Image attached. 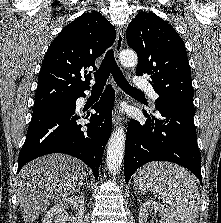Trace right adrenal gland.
<instances>
[{
	"mask_svg": "<svg viewBox=\"0 0 221 223\" xmlns=\"http://www.w3.org/2000/svg\"><path fill=\"white\" fill-rule=\"evenodd\" d=\"M87 186L88 188H90V184L87 180V178L85 179V183L83 184V187Z\"/></svg>",
	"mask_w": 221,
	"mask_h": 223,
	"instance_id": "obj_1",
	"label": "right adrenal gland"
}]
</instances>
